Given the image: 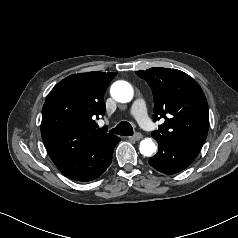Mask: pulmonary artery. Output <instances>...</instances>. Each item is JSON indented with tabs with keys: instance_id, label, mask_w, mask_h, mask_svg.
<instances>
[{
	"instance_id": "1",
	"label": "pulmonary artery",
	"mask_w": 238,
	"mask_h": 238,
	"mask_svg": "<svg viewBox=\"0 0 238 238\" xmlns=\"http://www.w3.org/2000/svg\"><path fill=\"white\" fill-rule=\"evenodd\" d=\"M131 115L139 122L141 127L146 131H154L155 124L148 116L146 103L143 99H136L131 107Z\"/></svg>"
}]
</instances>
